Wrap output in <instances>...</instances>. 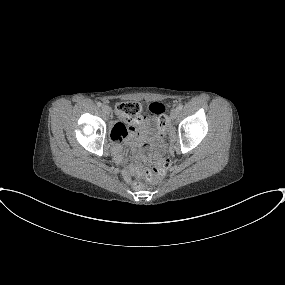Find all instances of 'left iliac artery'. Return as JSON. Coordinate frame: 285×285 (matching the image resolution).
<instances>
[{"label": "left iliac artery", "instance_id": "left-iliac-artery-1", "mask_svg": "<svg viewBox=\"0 0 285 285\" xmlns=\"http://www.w3.org/2000/svg\"><path fill=\"white\" fill-rule=\"evenodd\" d=\"M177 108H178L179 110H182V109H183V105L180 104Z\"/></svg>", "mask_w": 285, "mask_h": 285}]
</instances>
